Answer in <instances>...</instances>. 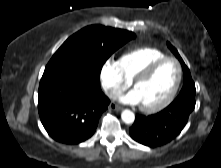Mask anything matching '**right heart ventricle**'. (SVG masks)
<instances>
[{"mask_svg": "<svg viewBox=\"0 0 221 168\" xmlns=\"http://www.w3.org/2000/svg\"><path fill=\"white\" fill-rule=\"evenodd\" d=\"M163 57H166V54L161 50L143 47L124 53L118 62L125 78L132 81V79L150 63Z\"/></svg>", "mask_w": 221, "mask_h": 168, "instance_id": "1", "label": "right heart ventricle"}]
</instances>
